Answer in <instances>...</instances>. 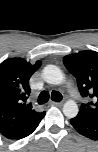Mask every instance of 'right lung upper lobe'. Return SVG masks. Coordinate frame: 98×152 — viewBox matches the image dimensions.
Listing matches in <instances>:
<instances>
[{
	"mask_svg": "<svg viewBox=\"0 0 98 152\" xmlns=\"http://www.w3.org/2000/svg\"><path fill=\"white\" fill-rule=\"evenodd\" d=\"M41 66V61L30 64L22 58H10L0 64V134L11 137L44 112H36L27 102L30 95L29 79Z\"/></svg>",
	"mask_w": 98,
	"mask_h": 152,
	"instance_id": "right-lung-upper-lobe-1",
	"label": "right lung upper lobe"
}]
</instances>
